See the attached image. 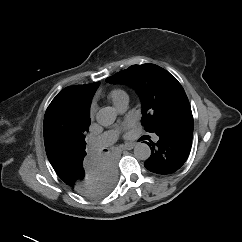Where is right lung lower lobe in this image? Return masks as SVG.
I'll return each instance as SVG.
<instances>
[{"label":"right lung lower lobe","instance_id":"right-lung-lower-lobe-1","mask_svg":"<svg viewBox=\"0 0 242 242\" xmlns=\"http://www.w3.org/2000/svg\"><path fill=\"white\" fill-rule=\"evenodd\" d=\"M68 186L88 198L106 196L117 181L114 156H86L58 175Z\"/></svg>","mask_w":242,"mask_h":242}]
</instances>
